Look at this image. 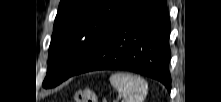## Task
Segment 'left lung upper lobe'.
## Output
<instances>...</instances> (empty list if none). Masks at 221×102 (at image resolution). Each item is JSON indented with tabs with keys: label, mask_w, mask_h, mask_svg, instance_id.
I'll return each mask as SVG.
<instances>
[{
	"label": "left lung upper lobe",
	"mask_w": 221,
	"mask_h": 102,
	"mask_svg": "<svg viewBox=\"0 0 221 102\" xmlns=\"http://www.w3.org/2000/svg\"><path fill=\"white\" fill-rule=\"evenodd\" d=\"M133 1L61 0L43 87H55L71 77Z\"/></svg>",
	"instance_id": "left-lung-upper-lobe-1"
}]
</instances>
